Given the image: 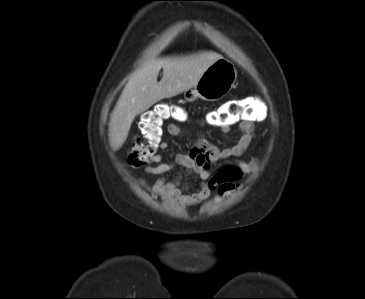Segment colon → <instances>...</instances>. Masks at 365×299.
Segmentation results:
<instances>
[{
  "instance_id": "obj_1",
  "label": "colon",
  "mask_w": 365,
  "mask_h": 299,
  "mask_svg": "<svg viewBox=\"0 0 365 299\" xmlns=\"http://www.w3.org/2000/svg\"><path fill=\"white\" fill-rule=\"evenodd\" d=\"M256 114L251 100H239L209 112L206 119L209 124L221 128L237 121L249 120ZM187 117L185 108L174 104H157L145 111L141 116L139 128L146 141L138 140L132 144L127 156L129 166L137 168L152 163L162 141L164 123L169 120L183 122ZM232 188L230 183L223 184L220 185V192Z\"/></svg>"
}]
</instances>
